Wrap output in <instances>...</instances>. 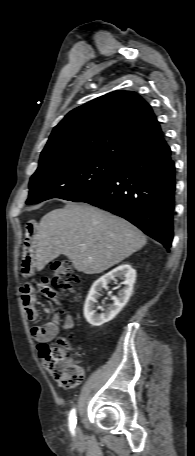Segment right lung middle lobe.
I'll return each mask as SVG.
<instances>
[{"mask_svg": "<svg viewBox=\"0 0 195 456\" xmlns=\"http://www.w3.org/2000/svg\"><path fill=\"white\" fill-rule=\"evenodd\" d=\"M120 163L96 158H66L39 164L29 183L27 204L51 198L74 200L111 178Z\"/></svg>", "mask_w": 195, "mask_h": 456, "instance_id": "dd1d6c3e", "label": "right lung middle lobe"}]
</instances>
